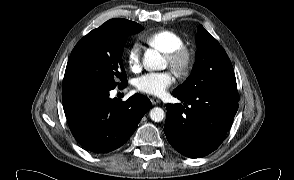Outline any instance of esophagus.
Listing matches in <instances>:
<instances>
[{"label": "esophagus", "mask_w": 294, "mask_h": 180, "mask_svg": "<svg viewBox=\"0 0 294 180\" xmlns=\"http://www.w3.org/2000/svg\"><path fill=\"white\" fill-rule=\"evenodd\" d=\"M151 102H152L153 105L161 103V101L159 99H157V98H151Z\"/></svg>", "instance_id": "1"}]
</instances>
